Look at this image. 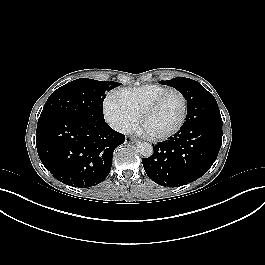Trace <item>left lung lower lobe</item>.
<instances>
[{
    "label": "left lung lower lobe",
    "mask_w": 265,
    "mask_h": 265,
    "mask_svg": "<svg viewBox=\"0 0 265 265\" xmlns=\"http://www.w3.org/2000/svg\"><path fill=\"white\" fill-rule=\"evenodd\" d=\"M187 108L189 118L180 131L142 159L148 177L161 186L179 187L197 180L218 156L222 118L214 96L204 87L196 88Z\"/></svg>",
    "instance_id": "1"
}]
</instances>
